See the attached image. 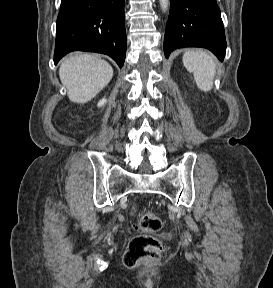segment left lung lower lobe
<instances>
[{"instance_id": "1", "label": "left lung lower lobe", "mask_w": 273, "mask_h": 288, "mask_svg": "<svg viewBox=\"0 0 273 288\" xmlns=\"http://www.w3.org/2000/svg\"><path fill=\"white\" fill-rule=\"evenodd\" d=\"M182 47L207 48L223 61L226 39L216 0H170L165 56Z\"/></svg>"}]
</instances>
